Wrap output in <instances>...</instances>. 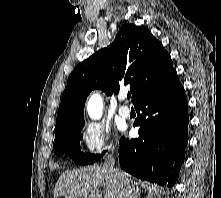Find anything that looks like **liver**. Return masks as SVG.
<instances>
[{
	"instance_id": "1",
	"label": "liver",
	"mask_w": 221,
	"mask_h": 198,
	"mask_svg": "<svg viewBox=\"0 0 221 198\" xmlns=\"http://www.w3.org/2000/svg\"><path fill=\"white\" fill-rule=\"evenodd\" d=\"M124 174L131 184L133 182L136 184L130 175ZM101 187H104V198H124L121 185L114 173L105 166L99 165L62 173L54 188V198L59 196H65V198H102Z\"/></svg>"
}]
</instances>
